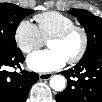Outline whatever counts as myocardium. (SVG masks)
Returning <instances> with one entry per match:
<instances>
[{"label": "myocardium", "mask_w": 102, "mask_h": 102, "mask_svg": "<svg viewBox=\"0 0 102 102\" xmlns=\"http://www.w3.org/2000/svg\"><path fill=\"white\" fill-rule=\"evenodd\" d=\"M76 32L80 33L82 36V45H81L79 52L74 57H72L66 61L70 65L78 63L84 57V55L86 53V50L88 47V35H87L86 30L79 25H73V26L59 32L58 34L54 35L50 39V41H64Z\"/></svg>", "instance_id": "obj_1"}]
</instances>
